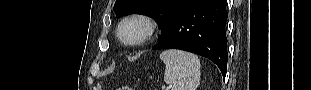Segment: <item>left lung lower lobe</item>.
I'll return each mask as SVG.
<instances>
[{
	"instance_id": "0a47b994",
	"label": "left lung lower lobe",
	"mask_w": 311,
	"mask_h": 90,
	"mask_svg": "<svg viewBox=\"0 0 311 90\" xmlns=\"http://www.w3.org/2000/svg\"><path fill=\"white\" fill-rule=\"evenodd\" d=\"M226 0H198L181 13L152 49H181L213 61L227 71Z\"/></svg>"
}]
</instances>
